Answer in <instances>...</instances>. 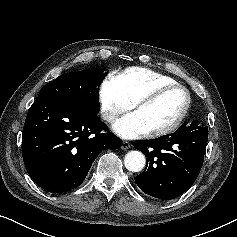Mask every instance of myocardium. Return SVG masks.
<instances>
[{"mask_svg": "<svg viewBox=\"0 0 237 237\" xmlns=\"http://www.w3.org/2000/svg\"><path fill=\"white\" fill-rule=\"evenodd\" d=\"M173 89H180L184 92L185 97H186L185 105H184L183 109L181 110V112L179 113V115L174 119V121L171 124H169L166 127L160 128V129L149 131L148 135L151 137H159V136L167 135L179 127V125L184 120V118L187 115L188 110L190 108L191 94L185 86H183L179 83L166 84V85H161V86L156 87L155 89H153L148 94L144 95L143 97H141L139 100H137L134 103L133 107L136 110L146 104L153 102L154 100L159 98L165 92H167L169 90H173Z\"/></svg>", "mask_w": 237, "mask_h": 237, "instance_id": "1", "label": "myocardium"}]
</instances>
